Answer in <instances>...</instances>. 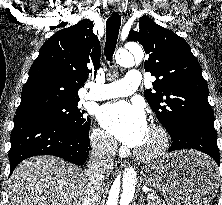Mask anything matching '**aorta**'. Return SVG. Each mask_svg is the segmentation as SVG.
I'll use <instances>...</instances> for the list:
<instances>
[{
	"label": "aorta",
	"mask_w": 222,
	"mask_h": 205,
	"mask_svg": "<svg viewBox=\"0 0 222 205\" xmlns=\"http://www.w3.org/2000/svg\"><path fill=\"white\" fill-rule=\"evenodd\" d=\"M142 57V48L137 44H129L120 51L117 62L122 67H132L139 63ZM137 184L136 170L132 167L127 168L122 178L119 175L113 182L106 205H129L136 194Z\"/></svg>",
	"instance_id": "obj_1"
}]
</instances>
